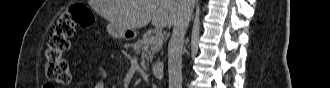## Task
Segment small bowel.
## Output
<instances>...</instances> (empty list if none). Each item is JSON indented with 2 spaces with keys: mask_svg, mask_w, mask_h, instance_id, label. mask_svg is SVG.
<instances>
[{
  "mask_svg": "<svg viewBox=\"0 0 330 88\" xmlns=\"http://www.w3.org/2000/svg\"><path fill=\"white\" fill-rule=\"evenodd\" d=\"M97 70L101 76V78H105L107 76V71L104 67H102L101 65H97ZM98 87L99 88H102L103 87V83L102 82H99L98 83Z\"/></svg>",
  "mask_w": 330,
  "mask_h": 88,
  "instance_id": "c3829d8e",
  "label": "small bowel"
}]
</instances>
